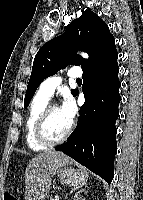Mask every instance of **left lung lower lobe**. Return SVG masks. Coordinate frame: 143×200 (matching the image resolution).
<instances>
[{
    "label": "left lung lower lobe",
    "instance_id": "1",
    "mask_svg": "<svg viewBox=\"0 0 143 200\" xmlns=\"http://www.w3.org/2000/svg\"><path fill=\"white\" fill-rule=\"evenodd\" d=\"M117 56L112 39L87 67L82 68L85 103L80 108L79 123L68 141L56 147L108 183L114 177L115 122L121 101Z\"/></svg>",
    "mask_w": 143,
    "mask_h": 200
}]
</instances>
